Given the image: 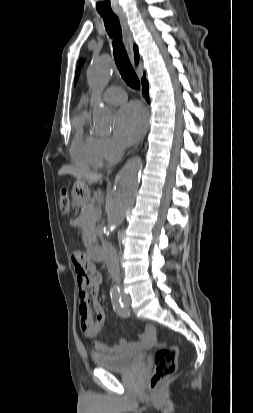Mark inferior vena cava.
Masks as SVG:
<instances>
[{
	"mask_svg": "<svg viewBox=\"0 0 253 413\" xmlns=\"http://www.w3.org/2000/svg\"><path fill=\"white\" fill-rule=\"evenodd\" d=\"M102 248L106 257V265L114 282L120 283L119 260L115 248L111 243L102 239Z\"/></svg>",
	"mask_w": 253,
	"mask_h": 413,
	"instance_id": "602c4592",
	"label": "inferior vena cava"
}]
</instances>
